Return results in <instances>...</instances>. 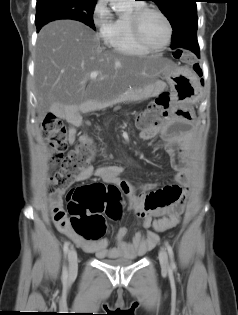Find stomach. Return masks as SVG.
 <instances>
[{"label": "stomach", "mask_w": 238, "mask_h": 315, "mask_svg": "<svg viewBox=\"0 0 238 315\" xmlns=\"http://www.w3.org/2000/svg\"><path fill=\"white\" fill-rule=\"evenodd\" d=\"M167 67L161 72L163 80H166L174 91V102H171V116L178 117V122H195L198 110L194 104L201 98V87H197L195 75L192 72H178L172 63L163 59Z\"/></svg>", "instance_id": "0dacf381"}]
</instances>
